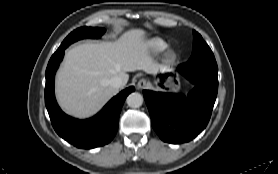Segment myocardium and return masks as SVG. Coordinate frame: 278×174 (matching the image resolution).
I'll return each mask as SVG.
<instances>
[{
	"mask_svg": "<svg viewBox=\"0 0 278 174\" xmlns=\"http://www.w3.org/2000/svg\"><path fill=\"white\" fill-rule=\"evenodd\" d=\"M168 56H169L170 58H172V57L174 56V54H173L172 52H169Z\"/></svg>",
	"mask_w": 278,
	"mask_h": 174,
	"instance_id": "obj_1",
	"label": "myocardium"
}]
</instances>
